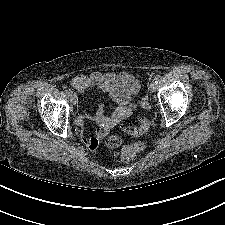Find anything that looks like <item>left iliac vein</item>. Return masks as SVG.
<instances>
[{
    "label": "left iliac vein",
    "instance_id": "1",
    "mask_svg": "<svg viewBox=\"0 0 225 225\" xmlns=\"http://www.w3.org/2000/svg\"><path fill=\"white\" fill-rule=\"evenodd\" d=\"M149 89L151 92H154L156 90V83L155 81H151L149 84Z\"/></svg>",
    "mask_w": 225,
    "mask_h": 225
}]
</instances>
